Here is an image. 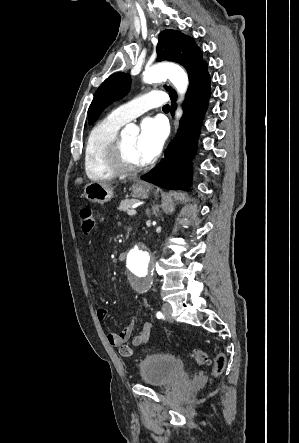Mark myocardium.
Returning a JSON list of instances; mask_svg holds the SVG:
<instances>
[{"label":"myocardium","mask_w":299,"mask_h":443,"mask_svg":"<svg viewBox=\"0 0 299 443\" xmlns=\"http://www.w3.org/2000/svg\"><path fill=\"white\" fill-rule=\"evenodd\" d=\"M107 163L116 174L121 175H132L138 173L143 170L146 165H131L127 162L123 149V141L119 136H117L107 151Z\"/></svg>","instance_id":"obj_1"}]
</instances>
